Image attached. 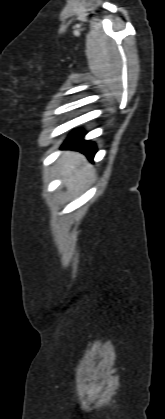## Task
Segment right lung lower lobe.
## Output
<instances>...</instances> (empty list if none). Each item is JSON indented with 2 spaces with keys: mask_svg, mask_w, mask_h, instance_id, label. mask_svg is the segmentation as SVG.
I'll list each match as a JSON object with an SVG mask.
<instances>
[{
  "mask_svg": "<svg viewBox=\"0 0 165 419\" xmlns=\"http://www.w3.org/2000/svg\"><path fill=\"white\" fill-rule=\"evenodd\" d=\"M84 133L73 132L71 136L65 141L63 147L84 153L89 159H93L96 153V146L94 143L83 140Z\"/></svg>",
  "mask_w": 165,
  "mask_h": 419,
  "instance_id": "1",
  "label": "right lung lower lobe"
}]
</instances>
